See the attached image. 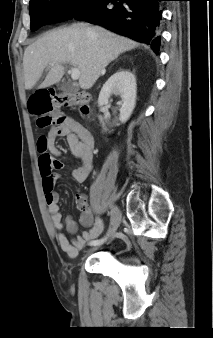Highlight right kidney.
<instances>
[{"label": "right kidney", "instance_id": "right-kidney-1", "mask_svg": "<svg viewBox=\"0 0 213 338\" xmlns=\"http://www.w3.org/2000/svg\"><path fill=\"white\" fill-rule=\"evenodd\" d=\"M136 78L127 70H119L114 73L103 85L98 105L108 104L112 94L119 95L122 99L119 120L125 123L131 116L136 104ZM103 122V118L99 117Z\"/></svg>", "mask_w": 213, "mask_h": 338}]
</instances>
